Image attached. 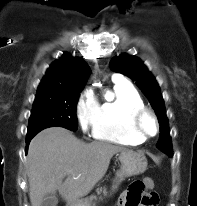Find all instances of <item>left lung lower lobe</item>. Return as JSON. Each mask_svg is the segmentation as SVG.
<instances>
[{
  "label": "left lung lower lobe",
  "mask_w": 197,
  "mask_h": 206,
  "mask_svg": "<svg viewBox=\"0 0 197 206\" xmlns=\"http://www.w3.org/2000/svg\"><path fill=\"white\" fill-rule=\"evenodd\" d=\"M166 154H168L171 157L172 156V151H168Z\"/></svg>",
  "instance_id": "1"
}]
</instances>
